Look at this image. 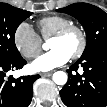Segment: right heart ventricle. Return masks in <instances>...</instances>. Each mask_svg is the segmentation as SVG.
Here are the masks:
<instances>
[{
	"instance_id": "right-heart-ventricle-1",
	"label": "right heart ventricle",
	"mask_w": 107,
	"mask_h": 107,
	"mask_svg": "<svg viewBox=\"0 0 107 107\" xmlns=\"http://www.w3.org/2000/svg\"><path fill=\"white\" fill-rule=\"evenodd\" d=\"M73 21L64 15H51L42 18L38 22V28L40 35L44 40H47L52 37L57 31L63 27L72 24Z\"/></svg>"
}]
</instances>
